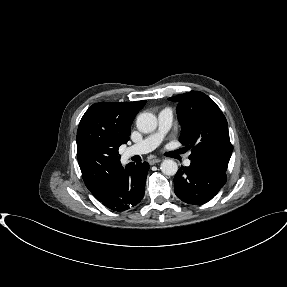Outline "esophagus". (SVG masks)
<instances>
[{
  "instance_id": "34e87169",
  "label": "esophagus",
  "mask_w": 287,
  "mask_h": 287,
  "mask_svg": "<svg viewBox=\"0 0 287 287\" xmlns=\"http://www.w3.org/2000/svg\"><path fill=\"white\" fill-rule=\"evenodd\" d=\"M161 161H162V158L155 157V158H152L151 160H149V164L154 165V164L159 163Z\"/></svg>"
}]
</instances>
